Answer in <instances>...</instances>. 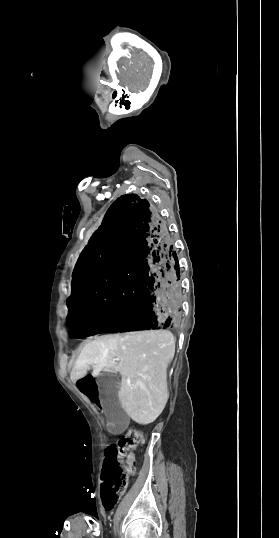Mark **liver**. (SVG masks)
I'll return each mask as SVG.
<instances>
[{"label": "liver", "instance_id": "obj_1", "mask_svg": "<svg viewBox=\"0 0 279 538\" xmlns=\"http://www.w3.org/2000/svg\"><path fill=\"white\" fill-rule=\"evenodd\" d=\"M174 354L175 338L169 330L109 334L84 346L72 378H84L89 366H93V378L102 370L120 372L121 406L134 422L145 426L154 422L167 404V368Z\"/></svg>", "mask_w": 279, "mask_h": 538}]
</instances>
